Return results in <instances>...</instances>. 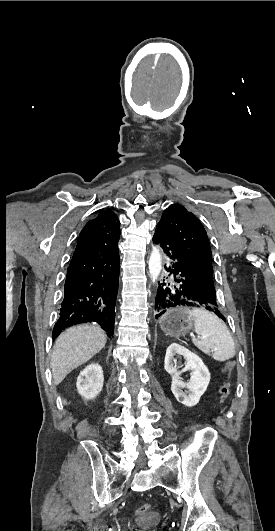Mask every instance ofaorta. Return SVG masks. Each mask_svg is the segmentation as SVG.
<instances>
[{"mask_svg": "<svg viewBox=\"0 0 275 531\" xmlns=\"http://www.w3.org/2000/svg\"><path fill=\"white\" fill-rule=\"evenodd\" d=\"M149 275L152 283L157 281L162 269V257L159 247H153L149 257Z\"/></svg>", "mask_w": 275, "mask_h": 531, "instance_id": "obj_1", "label": "aorta"}]
</instances>
